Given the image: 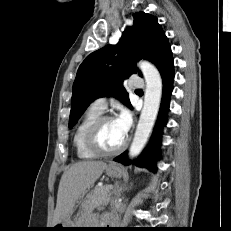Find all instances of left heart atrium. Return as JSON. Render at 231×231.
<instances>
[{
  "label": "left heart atrium",
  "mask_w": 231,
  "mask_h": 231,
  "mask_svg": "<svg viewBox=\"0 0 231 231\" xmlns=\"http://www.w3.org/2000/svg\"><path fill=\"white\" fill-rule=\"evenodd\" d=\"M114 120L121 133L124 136H127L132 125V118L130 113L126 110H122Z\"/></svg>",
  "instance_id": "1"
}]
</instances>
